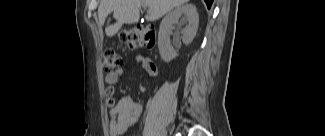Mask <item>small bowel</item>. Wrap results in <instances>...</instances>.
<instances>
[{
	"instance_id": "small-bowel-1",
	"label": "small bowel",
	"mask_w": 325,
	"mask_h": 136,
	"mask_svg": "<svg viewBox=\"0 0 325 136\" xmlns=\"http://www.w3.org/2000/svg\"><path fill=\"white\" fill-rule=\"evenodd\" d=\"M137 61L144 71L153 78L158 77L157 65L149 58L137 56ZM125 68H119L105 75V83L109 86L115 85L123 75ZM106 106L109 108V135L120 136L133 127L140 118L143 105L129 95H123L118 101L114 97V91H106Z\"/></svg>"
}]
</instances>
